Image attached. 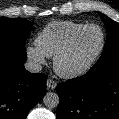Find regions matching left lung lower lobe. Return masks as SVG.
Wrapping results in <instances>:
<instances>
[{"label":"left lung lower lobe","instance_id":"0a47b994","mask_svg":"<svg viewBox=\"0 0 119 119\" xmlns=\"http://www.w3.org/2000/svg\"><path fill=\"white\" fill-rule=\"evenodd\" d=\"M57 119H119V63L60 83Z\"/></svg>","mask_w":119,"mask_h":119}]
</instances>
